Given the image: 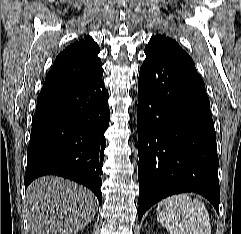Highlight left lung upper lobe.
Wrapping results in <instances>:
<instances>
[{
    "label": "left lung upper lobe",
    "instance_id": "obj_1",
    "mask_svg": "<svg viewBox=\"0 0 241 234\" xmlns=\"http://www.w3.org/2000/svg\"><path fill=\"white\" fill-rule=\"evenodd\" d=\"M145 50L156 51L161 56H164L172 61L195 67L191 57L179 46L176 41L170 37H167L166 35L157 34L152 36Z\"/></svg>",
    "mask_w": 241,
    "mask_h": 234
}]
</instances>
